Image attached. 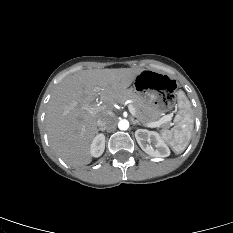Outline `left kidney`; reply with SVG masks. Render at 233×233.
Here are the masks:
<instances>
[{"mask_svg":"<svg viewBox=\"0 0 233 233\" xmlns=\"http://www.w3.org/2000/svg\"><path fill=\"white\" fill-rule=\"evenodd\" d=\"M136 140L141 149L152 157H168L170 150L161 136L154 131L138 129L135 131Z\"/></svg>","mask_w":233,"mask_h":233,"instance_id":"left-kidney-1","label":"left kidney"}]
</instances>
